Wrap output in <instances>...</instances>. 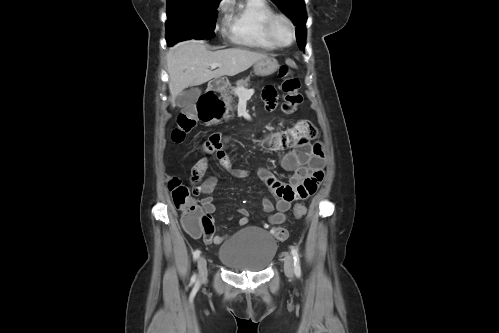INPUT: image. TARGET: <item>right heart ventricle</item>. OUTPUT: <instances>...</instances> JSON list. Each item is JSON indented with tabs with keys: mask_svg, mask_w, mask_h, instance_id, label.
<instances>
[{
	"mask_svg": "<svg viewBox=\"0 0 499 333\" xmlns=\"http://www.w3.org/2000/svg\"><path fill=\"white\" fill-rule=\"evenodd\" d=\"M228 35L237 45L273 50L277 46L265 30L266 20L274 12L268 0H240L226 7Z\"/></svg>",
	"mask_w": 499,
	"mask_h": 333,
	"instance_id": "obj_1",
	"label": "right heart ventricle"
}]
</instances>
